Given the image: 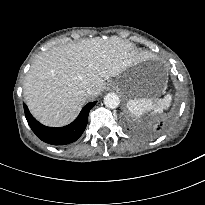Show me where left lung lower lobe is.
Listing matches in <instances>:
<instances>
[{"instance_id":"0a47b994","label":"left lung lower lobe","mask_w":205,"mask_h":205,"mask_svg":"<svg viewBox=\"0 0 205 205\" xmlns=\"http://www.w3.org/2000/svg\"><path fill=\"white\" fill-rule=\"evenodd\" d=\"M164 129H165V123L160 122L152 128V133L157 135L160 134Z\"/></svg>"}]
</instances>
